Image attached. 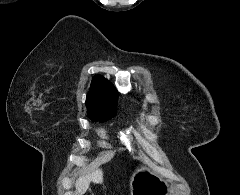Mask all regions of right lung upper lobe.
I'll list each match as a JSON object with an SVG mask.
<instances>
[{
    "label": "right lung upper lobe",
    "mask_w": 240,
    "mask_h": 195,
    "mask_svg": "<svg viewBox=\"0 0 240 195\" xmlns=\"http://www.w3.org/2000/svg\"><path fill=\"white\" fill-rule=\"evenodd\" d=\"M118 92L116 88L104 77L93 78L86 104L113 105L117 103Z\"/></svg>",
    "instance_id": "1"
}]
</instances>
